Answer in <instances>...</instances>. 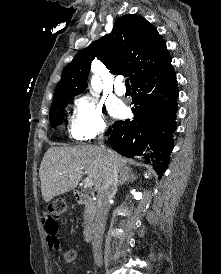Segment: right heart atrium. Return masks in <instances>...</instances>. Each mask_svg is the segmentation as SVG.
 <instances>
[{
    "instance_id": "d8ad5b80",
    "label": "right heart atrium",
    "mask_w": 221,
    "mask_h": 274,
    "mask_svg": "<svg viewBox=\"0 0 221 274\" xmlns=\"http://www.w3.org/2000/svg\"><path fill=\"white\" fill-rule=\"evenodd\" d=\"M107 128L104 106L89 96L76 100V113L71 125V135L76 140H88L103 133Z\"/></svg>"
}]
</instances>
